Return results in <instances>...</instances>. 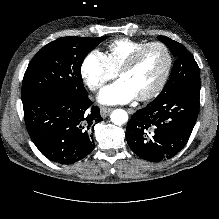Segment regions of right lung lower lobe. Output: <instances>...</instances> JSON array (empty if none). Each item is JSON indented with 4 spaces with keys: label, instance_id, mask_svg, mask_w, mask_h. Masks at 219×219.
I'll use <instances>...</instances> for the list:
<instances>
[{
    "label": "right lung lower lobe",
    "instance_id": "obj_1",
    "mask_svg": "<svg viewBox=\"0 0 219 219\" xmlns=\"http://www.w3.org/2000/svg\"><path fill=\"white\" fill-rule=\"evenodd\" d=\"M87 95L54 92L23 102L28 133L51 161L71 164L94 149L91 131L101 121L99 108Z\"/></svg>",
    "mask_w": 219,
    "mask_h": 219
}]
</instances>
